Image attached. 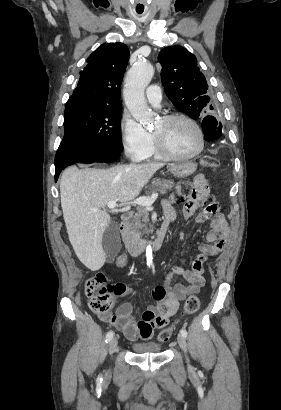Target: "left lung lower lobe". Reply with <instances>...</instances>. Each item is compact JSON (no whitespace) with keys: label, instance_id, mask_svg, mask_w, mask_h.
Returning a JSON list of instances; mask_svg holds the SVG:
<instances>
[{"label":"left lung lower lobe","instance_id":"0a47b994","mask_svg":"<svg viewBox=\"0 0 281 410\" xmlns=\"http://www.w3.org/2000/svg\"><path fill=\"white\" fill-rule=\"evenodd\" d=\"M202 129L205 134V140L212 141L220 137L219 131L222 127L215 117L206 116L202 121Z\"/></svg>","mask_w":281,"mask_h":410}]
</instances>
